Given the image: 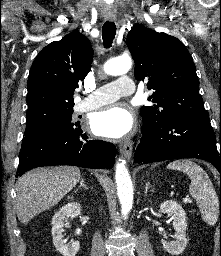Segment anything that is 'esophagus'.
Instances as JSON below:
<instances>
[{
    "mask_svg": "<svg viewBox=\"0 0 221 256\" xmlns=\"http://www.w3.org/2000/svg\"><path fill=\"white\" fill-rule=\"evenodd\" d=\"M110 21L113 20V18H109ZM119 149L121 154L126 158L130 159L132 156V150H133V143L131 140H126L124 142H121L119 144Z\"/></svg>",
    "mask_w": 221,
    "mask_h": 256,
    "instance_id": "esophagus-1",
    "label": "esophagus"
}]
</instances>
